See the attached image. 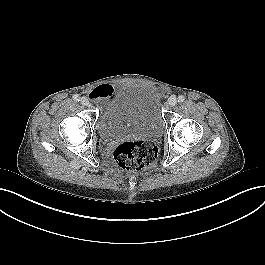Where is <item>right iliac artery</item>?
Here are the masks:
<instances>
[{
  "mask_svg": "<svg viewBox=\"0 0 265 265\" xmlns=\"http://www.w3.org/2000/svg\"><path fill=\"white\" fill-rule=\"evenodd\" d=\"M73 100L76 101V102L77 101L79 102L80 101L79 95H77V94L73 95Z\"/></svg>",
  "mask_w": 265,
  "mask_h": 265,
  "instance_id": "obj_1",
  "label": "right iliac artery"
}]
</instances>
